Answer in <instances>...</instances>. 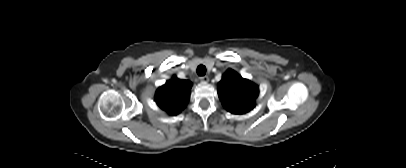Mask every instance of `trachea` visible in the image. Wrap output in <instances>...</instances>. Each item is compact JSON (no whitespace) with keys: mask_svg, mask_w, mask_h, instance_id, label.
Listing matches in <instances>:
<instances>
[{"mask_svg":"<svg viewBox=\"0 0 406 168\" xmlns=\"http://www.w3.org/2000/svg\"><path fill=\"white\" fill-rule=\"evenodd\" d=\"M197 74L199 76H204L206 74V67L204 65H199L197 67Z\"/></svg>","mask_w":406,"mask_h":168,"instance_id":"obj_1","label":"trachea"}]
</instances>
